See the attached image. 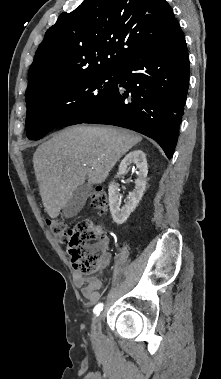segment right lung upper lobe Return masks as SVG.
I'll return each instance as SVG.
<instances>
[{"label":"right lung upper lobe","mask_w":221,"mask_h":379,"mask_svg":"<svg viewBox=\"0 0 221 379\" xmlns=\"http://www.w3.org/2000/svg\"><path fill=\"white\" fill-rule=\"evenodd\" d=\"M178 29L166 0H86L47 30L29 70L26 102L55 84L118 69Z\"/></svg>","instance_id":"obj_1"}]
</instances>
